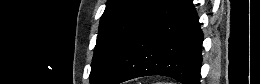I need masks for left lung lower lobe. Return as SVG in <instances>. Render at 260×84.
Segmentation results:
<instances>
[{"label":"left lung lower lobe","mask_w":260,"mask_h":84,"mask_svg":"<svg viewBox=\"0 0 260 84\" xmlns=\"http://www.w3.org/2000/svg\"><path fill=\"white\" fill-rule=\"evenodd\" d=\"M203 34L192 0H159L129 40L103 84L164 75L200 84Z\"/></svg>","instance_id":"0a47b994"}]
</instances>
